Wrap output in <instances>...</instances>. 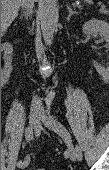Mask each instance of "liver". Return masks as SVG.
I'll use <instances>...</instances> for the list:
<instances>
[{"instance_id":"1","label":"liver","mask_w":109,"mask_h":170,"mask_svg":"<svg viewBox=\"0 0 109 170\" xmlns=\"http://www.w3.org/2000/svg\"><path fill=\"white\" fill-rule=\"evenodd\" d=\"M36 1V0H35ZM21 4V0H1V31L4 33L11 25Z\"/></svg>"}]
</instances>
